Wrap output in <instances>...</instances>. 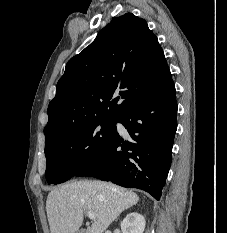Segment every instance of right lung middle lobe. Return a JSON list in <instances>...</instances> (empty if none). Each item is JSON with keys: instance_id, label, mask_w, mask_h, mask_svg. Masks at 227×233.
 I'll return each mask as SVG.
<instances>
[{"instance_id": "dd1d6c3e", "label": "right lung middle lobe", "mask_w": 227, "mask_h": 233, "mask_svg": "<svg viewBox=\"0 0 227 233\" xmlns=\"http://www.w3.org/2000/svg\"><path fill=\"white\" fill-rule=\"evenodd\" d=\"M116 122L114 118L93 120L46 142L48 184L67 181L91 162L115 132Z\"/></svg>"}]
</instances>
